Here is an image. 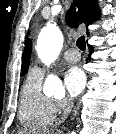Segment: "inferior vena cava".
<instances>
[{"mask_svg": "<svg viewBox=\"0 0 116 134\" xmlns=\"http://www.w3.org/2000/svg\"><path fill=\"white\" fill-rule=\"evenodd\" d=\"M72 106H73V101H72L71 98H69V99L67 100L66 108L64 109L63 115H62V117H61V122H63V121L67 118L68 114H69L70 111H71Z\"/></svg>", "mask_w": 116, "mask_h": 134, "instance_id": "obj_1", "label": "inferior vena cava"}]
</instances>
